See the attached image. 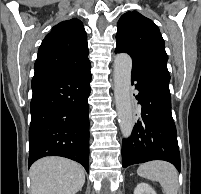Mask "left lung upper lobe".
I'll list each match as a JSON object with an SVG mask.
<instances>
[{
  "instance_id": "1",
  "label": "left lung upper lobe",
  "mask_w": 201,
  "mask_h": 194,
  "mask_svg": "<svg viewBox=\"0 0 201 194\" xmlns=\"http://www.w3.org/2000/svg\"><path fill=\"white\" fill-rule=\"evenodd\" d=\"M116 53H128L132 69L150 70L170 78L165 43L157 25L136 11L123 14L117 25Z\"/></svg>"
}]
</instances>
